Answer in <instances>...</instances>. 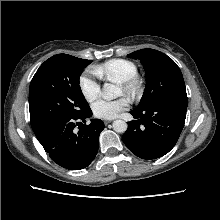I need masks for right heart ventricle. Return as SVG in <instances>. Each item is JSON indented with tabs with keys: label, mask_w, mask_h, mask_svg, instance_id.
<instances>
[{
	"label": "right heart ventricle",
	"mask_w": 220,
	"mask_h": 220,
	"mask_svg": "<svg viewBox=\"0 0 220 220\" xmlns=\"http://www.w3.org/2000/svg\"><path fill=\"white\" fill-rule=\"evenodd\" d=\"M94 73L101 79L123 83L138 75L137 65L127 59H112L93 67Z\"/></svg>",
	"instance_id": "right-heart-ventricle-1"
}]
</instances>
